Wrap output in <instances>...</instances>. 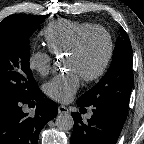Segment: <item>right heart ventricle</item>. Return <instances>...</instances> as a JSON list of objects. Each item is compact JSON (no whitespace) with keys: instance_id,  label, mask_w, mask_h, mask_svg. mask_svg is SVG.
Returning <instances> with one entry per match:
<instances>
[{"instance_id":"obj_1","label":"right heart ventricle","mask_w":144,"mask_h":144,"mask_svg":"<svg viewBox=\"0 0 144 144\" xmlns=\"http://www.w3.org/2000/svg\"><path fill=\"white\" fill-rule=\"evenodd\" d=\"M93 25L89 22L69 19L53 21L43 31L46 46L54 54L66 52L78 34Z\"/></svg>"}]
</instances>
